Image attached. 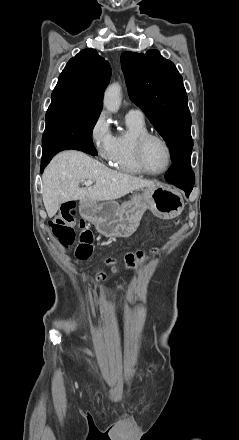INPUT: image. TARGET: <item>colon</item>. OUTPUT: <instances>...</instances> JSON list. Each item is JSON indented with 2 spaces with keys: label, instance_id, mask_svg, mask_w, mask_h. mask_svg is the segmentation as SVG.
I'll use <instances>...</instances> for the list:
<instances>
[{
  "label": "colon",
  "instance_id": "colon-1",
  "mask_svg": "<svg viewBox=\"0 0 239 440\" xmlns=\"http://www.w3.org/2000/svg\"><path fill=\"white\" fill-rule=\"evenodd\" d=\"M76 217V205L74 202H69L64 204L60 213L49 221V226L53 235L63 247L73 244L76 239L78 240L75 256L78 262H83L89 259L93 253L94 235L82 220L79 222V232L77 234L74 228ZM146 258V254L141 251L129 253L124 258V266L128 270H134L141 266ZM104 265L113 273L118 270L117 261L114 258H107ZM95 270L96 279L104 281L107 277L106 272L100 267Z\"/></svg>",
  "mask_w": 239,
  "mask_h": 440
}]
</instances>
